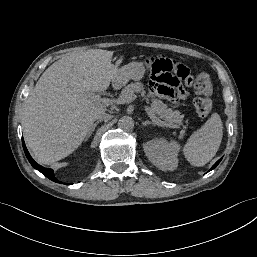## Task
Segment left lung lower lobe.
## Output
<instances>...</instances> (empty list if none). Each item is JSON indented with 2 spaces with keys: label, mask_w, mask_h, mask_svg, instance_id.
I'll list each match as a JSON object with an SVG mask.
<instances>
[{
  "label": "left lung lower lobe",
  "mask_w": 257,
  "mask_h": 257,
  "mask_svg": "<svg viewBox=\"0 0 257 257\" xmlns=\"http://www.w3.org/2000/svg\"><path fill=\"white\" fill-rule=\"evenodd\" d=\"M221 159H222V158H221ZM221 159L218 160V161L212 166V168H211L210 170L214 169V168L219 164V162L221 161Z\"/></svg>",
  "instance_id": "0a47b994"
}]
</instances>
